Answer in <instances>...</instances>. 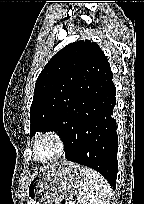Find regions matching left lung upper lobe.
I'll list each match as a JSON object with an SVG mask.
<instances>
[{
    "label": "left lung upper lobe",
    "mask_w": 144,
    "mask_h": 204,
    "mask_svg": "<svg viewBox=\"0 0 144 204\" xmlns=\"http://www.w3.org/2000/svg\"><path fill=\"white\" fill-rule=\"evenodd\" d=\"M107 66L101 48L89 40L71 43L55 54L35 84L30 137L55 131L64 142L86 103V90L94 73Z\"/></svg>",
    "instance_id": "1"
}]
</instances>
